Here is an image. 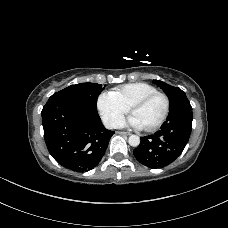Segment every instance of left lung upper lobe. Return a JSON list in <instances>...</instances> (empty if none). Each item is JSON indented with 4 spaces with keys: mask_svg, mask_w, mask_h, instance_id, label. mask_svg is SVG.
<instances>
[{
    "mask_svg": "<svg viewBox=\"0 0 228 228\" xmlns=\"http://www.w3.org/2000/svg\"><path fill=\"white\" fill-rule=\"evenodd\" d=\"M154 83L161 87L167 94L170 100V110L178 109L182 102L188 100L186 94L178 87H173L159 80H154Z\"/></svg>",
    "mask_w": 228,
    "mask_h": 228,
    "instance_id": "obj_1",
    "label": "left lung upper lobe"
}]
</instances>
